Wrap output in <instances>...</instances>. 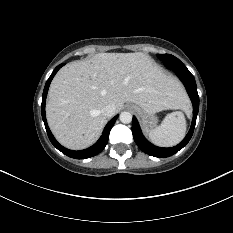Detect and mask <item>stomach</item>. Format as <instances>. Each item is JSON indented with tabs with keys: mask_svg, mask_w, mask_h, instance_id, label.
<instances>
[{
	"mask_svg": "<svg viewBox=\"0 0 233 233\" xmlns=\"http://www.w3.org/2000/svg\"><path fill=\"white\" fill-rule=\"evenodd\" d=\"M141 119V124L145 132H150L156 126L158 118L155 114L149 113L140 106L131 105Z\"/></svg>",
	"mask_w": 233,
	"mask_h": 233,
	"instance_id": "1",
	"label": "stomach"
}]
</instances>
